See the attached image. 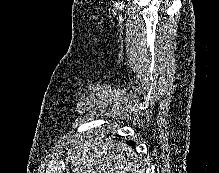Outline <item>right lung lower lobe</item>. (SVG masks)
Wrapping results in <instances>:
<instances>
[{
	"label": "right lung lower lobe",
	"instance_id": "98d812e1",
	"mask_svg": "<svg viewBox=\"0 0 219 173\" xmlns=\"http://www.w3.org/2000/svg\"><path fill=\"white\" fill-rule=\"evenodd\" d=\"M128 143H129L130 145H132L133 147L135 146V143L132 142V141H129Z\"/></svg>",
	"mask_w": 219,
	"mask_h": 173
}]
</instances>
